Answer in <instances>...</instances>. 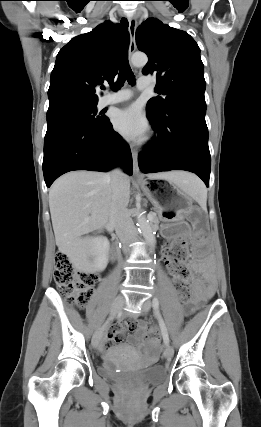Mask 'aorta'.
<instances>
[{"instance_id":"1","label":"aorta","mask_w":261,"mask_h":427,"mask_svg":"<svg viewBox=\"0 0 261 427\" xmlns=\"http://www.w3.org/2000/svg\"><path fill=\"white\" fill-rule=\"evenodd\" d=\"M147 62H148V57L144 53L134 54L131 58V63L135 67H144ZM137 222H138L139 229L141 230L146 242L149 244V246L155 247L156 238H155L151 223H149L146 217L143 215H139L137 217Z\"/></svg>"}]
</instances>
